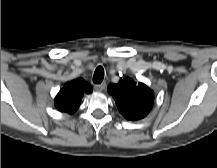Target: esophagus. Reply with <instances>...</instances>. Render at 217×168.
Segmentation results:
<instances>
[{"mask_svg":"<svg viewBox=\"0 0 217 168\" xmlns=\"http://www.w3.org/2000/svg\"><path fill=\"white\" fill-rule=\"evenodd\" d=\"M105 87H106V83H105V82H103V83H101V84H95V85H94V89H95L96 91H102V90L105 89Z\"/></svg>","mask_w":217,"mask_h":168,"instance_id":"34e87169","label":"esophagus"}]
</instances>
